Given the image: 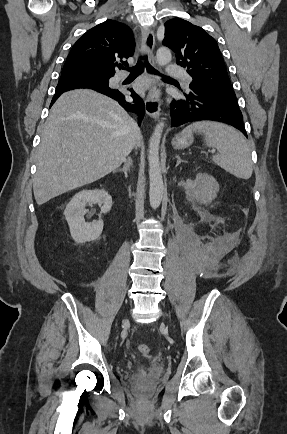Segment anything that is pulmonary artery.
<instances>
[{
  "instance_id": "obj_1",
  "label": "pulmonary artery",
  "mask_w": 287,
  "mask_h": 434,
  "mask_svg": "<svg viewBox=\"0 0 287 434\" xmlns=\"http://www.w3.org/2000/svg\"><path fill=\"white\" fill-rule=\"evenodd\" d=\"M167 74L169 76H173V77H181L184 79V81L186 82V84H189L191 82V78L190 76L186 73V71L177 65H171L168 64L167 65ZM118 80L121 79V77L117 78Z\"/></svg>"
}]
</instances>
